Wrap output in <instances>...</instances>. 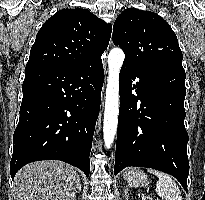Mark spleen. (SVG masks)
Returning a JSON list of instances; mask_svg holds the SVG:
<instances>
[{"mask_svg": "<svg viewBox=\"0 0 205 200\" xmlns=\"http://www.w3.org/2000/svg\"><path fill=\"white\" fill-rule=\"evenodd\" d=\"M147 171L158 178L156 184V193L160 197L165 200H183L178 185L170 175L153 169H148Z\"/></svg>", "mask_w": 205, "mask_h": 200, "instance_id": "1", "label": "spleen"}]
</instances>
